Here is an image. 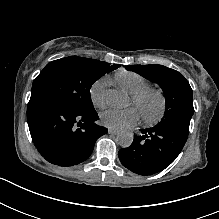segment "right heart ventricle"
Listing matches in <instances>:
<instances>
[{
  "label": "right heart ventricle",
  "mask_w": 219,
  "mask_h": 219,
  "mask_svg": "<svg viewBox=\"0 0 219 219\" xmlns=\"http://www.w3.org/2000/svg\"><path fill=\"white\" fill-rule=\"evenodd\" d=\"M115 81L123 90L130 94L149 86V81L135 71H118L115 74Z\"/></svg>",
  "instance_id": "e07e8e85"
}]
</instances>
